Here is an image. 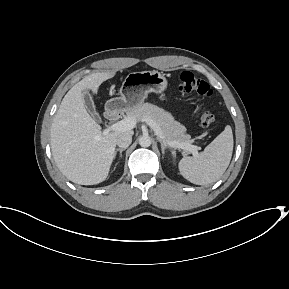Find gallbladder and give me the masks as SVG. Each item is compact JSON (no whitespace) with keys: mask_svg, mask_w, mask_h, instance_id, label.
<instances>
[{"mask_svg":"<svg viewBox=\"0 0 289 289\" xmlns=\"http://www.w3.org/2000/svg\"><path fill=\"white\" fill-rule=\"evenodd\" d=\"M82 97L86 108L96 121H100V116L95 112V106L90 93L85 89L82 91Z\"/></svg>","mask_w":289,"mask_h":289,"instance_id":"bac80fb5","label":"gallbladder"}]
</instances>
